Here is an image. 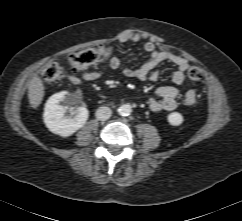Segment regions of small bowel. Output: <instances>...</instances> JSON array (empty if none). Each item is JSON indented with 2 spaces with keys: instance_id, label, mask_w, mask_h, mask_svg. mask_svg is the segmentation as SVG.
I'll return each instance as SVG.
<instances>
[{
  "instance_id": "1",
  "label": "small bowel",
  "mask_w": 242,
  "mask_h": 221,
  "mask_svg": "<svg viewBox=\"0 0 242 221\" xmlns=\"http://www.w3.org/2000/svg\"><path fill=\"white\" fill-rule=\"evenodd\" d=\"M146 39L144 43V50L148 53L146 60L136 68H124L122 74L127 78H133L141 81H155L158 78V73L153 71L154 68L161 62H168L176 67L172 75V81L176 86H163L156 90L155 95L149 100V108L153 112L173 111L178 105L179 101L183 106H192L196 101V93L189 89L184 93H180L177 86L184 82L185 72L188 69V61L169 51H158L154 41L139 31H125L119 38V42H138ZM128 55L114 56L107 65L111 70L119 69L123 61ZM106 71L105 67H97L92 70H86L78 74H69L67 79L72 84L78 85L83 82L95 81L99 79Z\"/></svg>"
}]
</instances>
